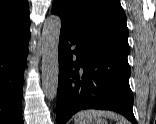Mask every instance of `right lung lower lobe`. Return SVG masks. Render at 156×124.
Returning a JSON list of instances; mask_svg holds the SVG:
<instances>
[{
	"label": "right lung lower lobe",
	"instance_id": "98d812e1",
	"mask_svg": "<svg viewBox=\"0 0 156 124\" xmlns=\"http://www.w3.org/2000/svg\"><path fill=\"white\" fill-rule=\"evenodd\" d=\"M29 29L0 33V124H23L21 99Z\"/></svg>",
	"mask_w": 156,
	"mask_h": 124
}]
</instances>
